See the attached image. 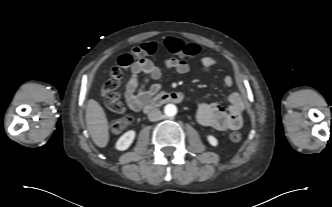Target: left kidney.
Wrapping results in <instances>:
<instances>
[{
  "mask_svg": "<svg viewBox=\"0 0 332 207\" xmlns=\"http://www.w3.org/2000/svg\"><path fill=\"white\" fill-rule=\"evenodd\" d=\"M207 140L213 147H216L218 145V140L212 135H208Z\"/></svg>",
  "mask_w": 332,
  "mask_h": 207,
  "instance_id": "1",
  "label": "left kidney"
}]
</instances>
